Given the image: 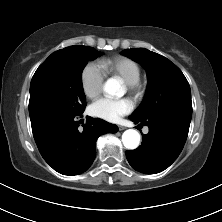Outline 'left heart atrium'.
Listing matches in <instances>:
<instances>
[{"label": "left heart atrium", "mask_w": 222, "mask_h": 222, "mask_svg": "<svg viewBox=\"0 0 222 222\" xmlns=\"http://www.w3.org/2000/svg\"><path fill=\"white\" fill-rule=\"evenodd\" d=\"M133 110V103L128 98L111 99L102 97L93 102L90 106V113L101 119L116 122L122 116L129 114Z\"/></svg>", "instance_id": "1"}]
</instances>
